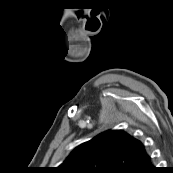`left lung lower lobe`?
Returning a JSON list of instances; mask_svg holds the SVG:
<instances>
[{
  "label": "left lung lower lobe",
  "instance_id": "left-lung-lower-lobe-1",
  "mask_svg": "<svg viewBox=\"0 0 173 173\" xmlns=\"http://www.w3.org/2000/svg\"><path fill=\"white\" fill-rule=\"evenodd\" d=\"M139 173H159V170L153 165L150 159L149 163Z\"/></svg>",
  "mask_w": 173,
  "mask_h": 173
}]
</instances>
